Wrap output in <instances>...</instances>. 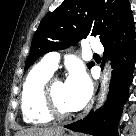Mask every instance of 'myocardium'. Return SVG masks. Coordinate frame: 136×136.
Masks as SVG:
<instances>
[{"label":"myocardium","instance_id":"obj_1","mask_svg":"<svg viewBox=\"0 0 136 136\" xmlns=\"http://www.w3.org/2000/svg\"><path fill=\"white\" fill-rule=\"evenodd\" d=\"M61 81L57 77H51L45 84L43 89V104L46 112L56 119H66L73 116V112L62 111L54 98L53 88L56 82Z\"/></svg>","mask_w":136,"mask_h":136}]
</instances>
